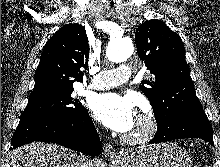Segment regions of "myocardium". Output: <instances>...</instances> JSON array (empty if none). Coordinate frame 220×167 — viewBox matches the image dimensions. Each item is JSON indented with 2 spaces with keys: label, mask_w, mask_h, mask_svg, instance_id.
Segmentation results:
<instances>
[{
  "label": "myocardium",
  "mask_w": 220,
  "mask_h": 167,
  "mask_svg": "<svg viewBox=\"0 0 220 167\" xmlns=\"http://www.w3.org/2000/svg\"><path fill=\"white\" fill-rule=\"evenodd\" d=\"M138 117L142 123L141 129L136 133L123 136V141L128 144L136 145L146 143L151 140L158 131L159 122L152 110H144Z\"/></svg>",
  "instance_id": "f54148a6"
}]
</instances>
